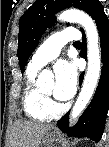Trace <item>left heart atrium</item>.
Here are the masks:
<instances>
[{
    "label": "left heart atrium",
    "mask_w": 109,
    "mask_h": 147,
    "mask_svg": "<svg viewBox=\"0 0 109 147\" xmlns=\"http://www.w3.org/2000/svg\"><path fill=\"white\" fill-rule=\"evenodd\" d=\"M55 85L53 95L59 100L72 98L77 86V71L75 64L65 60L57 62L54 68Z\"/></svg>",
    "instance_id": "obj_1"
}]
</instances>
